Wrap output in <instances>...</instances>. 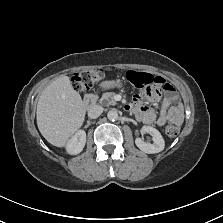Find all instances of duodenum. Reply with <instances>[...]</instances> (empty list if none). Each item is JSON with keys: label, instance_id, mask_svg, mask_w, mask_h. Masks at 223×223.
I'll return each instance as SVG.
<instances>
[{"label": "duodenum", "instance_id": "duodenum-1", "mask_svg": "<svg viewBox=\"0 0 223 223\" xmlns=\"http://www.w3.org/2000/svg\"><path fill=\"white\" fill-rule=\"evenodd\" d=\"M98 91L87 92L84 95V103L86 106L91 107L96 104L98 99Z\"/></svg>", "mask_w": 223, "mask_h": 223}]
</instances>
